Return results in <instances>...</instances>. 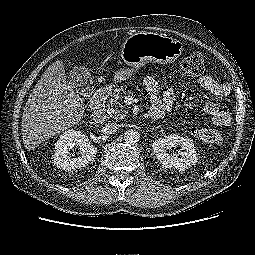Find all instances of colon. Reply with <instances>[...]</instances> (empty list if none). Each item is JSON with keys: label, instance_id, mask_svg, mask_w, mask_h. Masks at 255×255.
Listing matches in <instances>:
<instances>
[{"label": "colon", "instance_id": "1", "mask_svg": "<svg viewBox=\"0 0 255 255\" xmlns=\"http://www.w3.org/2000/svg\"><path fill=\"white\" fill-rule=\"evenodd\" d=\"M181 69L186 74L196 76L203 72L204 70V57L199 52H193L187 56L181 63ZM191 133L197 139L205 143H220L221 135L210 128L206 127H192Z\"/></svg>", "mask_w": 255, "mask_h": 255}]
</instances>
